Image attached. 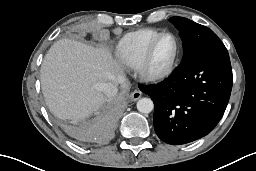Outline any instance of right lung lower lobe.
<instances>
[{
    "instance_id": "1",
    "label": "right lung lower lobe",
    "mask_w": 256,
    "mask_h": 171,
    "mask_svg": "<svg viewBox=\"0 0 256 171\" xmlns=\"http://www.w3.org/2000/svg\"><path fill=\"white\" fill-rule=\"evenodd\" d=\"M125 104L126 96L123 94L106 99L90 118L72 125L69 134L83 142L101 143L109 140Z\"/></svg>"
}]
</instances>
